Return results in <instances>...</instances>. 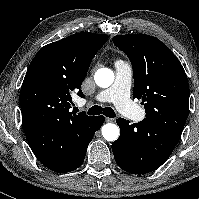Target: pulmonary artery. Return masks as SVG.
Masks as SVG:
<instances>
[{
    "mask_svg": "<svg viewBox=\"0 0 199 199\" xmlns=\"http://www.w3.org/2000/svg\"><path fill=\"white\" fill-rule=\"evenodd\" d=\"M115 69L116 74L113 85L99 93L95 100L111 102L129 118L142 119L144 117L142 110L131 101L130 97L132 66L126 61L118 60L115 62Z\"/></svg>",
    "mask_w": 199,
    "mask_h": 199,
    "instance_id": "obj_1",
    "label": "pulmonary artery"
}]
</instances>
